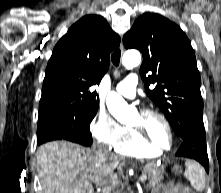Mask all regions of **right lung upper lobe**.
<instances>
[{
	"mask_svg": "<svg viewBox=\"0 0 221 193\" xmlns=\"http://www.w3.org/2000/svg\"><path fill=\"white\" fill-rule=\"evenodd\" d=\"M120 37L99 15H86L56 44L43 81L40 109L53 106L90 108L99 105V84Z\"/></svg>",
	"mask_w": 221,
	"mask_h": 193,
	"instance_id": "obj_1",
	"label": "right lung upper lobe"
}]
</instances>
